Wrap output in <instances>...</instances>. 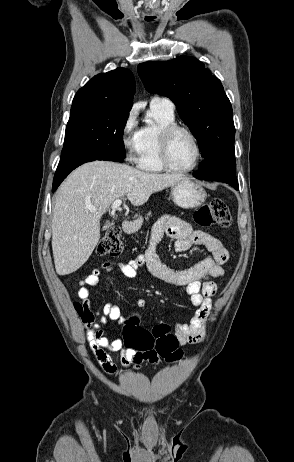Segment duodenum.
I'll list each match as a JSON object with an SVG mask.
<instances>
[{"label":"duodenum","mask_w":294,"mask_h":462,"mask_svg":"<svg viewBox=\"0 0 294 462\" xmlns=\"http://www.w3.org/2000/svg\"><path fill=\"white\" fill-rule=\"evenodd\" d=\"M135 224L132 222L131 219L127 218L123 221L122 230L125 234H130L134 231Z\"/></svg>","instance_id":"1"}]
</instances>
